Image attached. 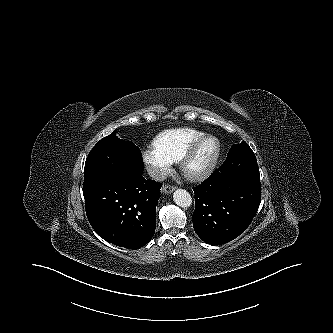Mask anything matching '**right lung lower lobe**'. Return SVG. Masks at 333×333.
<instances>
[{"instance_id":"98d812e1","label":"right lung lower lobe","mask_w":333,"mask_h":333,"mask_svg":"<svg viewBox=\"0 0 333 333\" xmlns=\"http://www.w3.org/2000/svg\"><path fill=\"white\" fill-rule=\"evenodd\" d=\"M161 184L142 173L113 177L83 187L86 214L104 240L138 249L154 235Z\"/></svg>"}]
</instances>
